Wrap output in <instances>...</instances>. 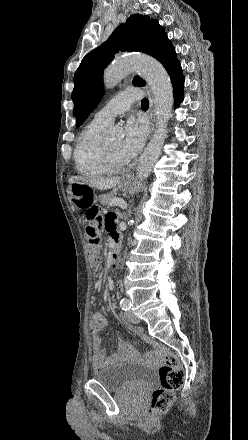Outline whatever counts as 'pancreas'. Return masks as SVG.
Instances as JSON below:
<instances>
[{
	"mask_svg": "<svg viewBox=\"0 0 248 440\" xmlns=\"http://www.w3.org/2000/svg\"><path fill=\"white\" fill-rule=\"evenodd\" d=\"M114 199L113 194H103L99 197V201L102 205H111V201Z\"/></svg>",
	"mask_w": 248,
	"mask_h": 440,
	"instance_id": "pancreas-1",
	"label": "pancreas"
}]
</instances>
